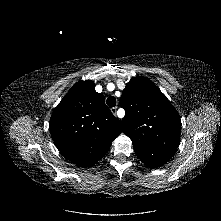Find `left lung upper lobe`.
<instances>
[{"instance_id":"left-lung-upper-lobe-1","label":"left lung upper lobe","mask_w":221,"mask_h":221,"mask_svg":"<svg viewBox=\"0 0 221 221\" xmlns=\"http://www.w3.org/2000/svg\"><path fill=\"white\" fill-rule=\"evenodd\" d=\"M121 106L123 131L138 158L150 168L167 163L179 145L181 119L166 96L148 78L134 77L122 92Z\"/></svg>"}]
</instances>
